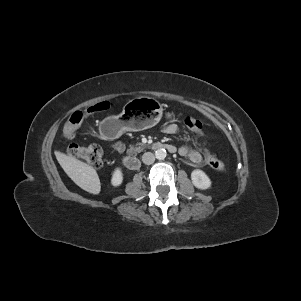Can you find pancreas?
Returning a JSON list of instances; mask_svg holds the SVG:
<instances>
[{"instance_id":"cf45deb5","label":"pancreas","mask_w":301,"mask_h":301,"mask_svg":"<svg viewBox=\"0 0 301 301\" xmlns=\"http://www.w3.org/2000/svg\"><path fill=\"white\" fill-rule=\"evenodd\" d=\"M143 143H137L135 145H130L129 149L127 150V153L129 154H135V153H139L143 150Z\"/></svg>"}]
</instances>
